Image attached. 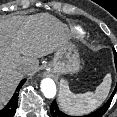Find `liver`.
<instances>
[{
	"instance_id": "6515ba94",
	"label": "liver",
	"mask_w": 117,
	"mask_h": 117,
	"mask_svg": "<svg viewBox=\"0 0 117 117\" xmlns=\"http://www.w3.org/2000/svg\"><path fill=\"white\" fill-rule=\"evenodd\" d=\"M67 41L63 23L48 13L0 19V108L22 79L20 69L37 70L38 58Z\"/></svg>"
}]
</instances>
